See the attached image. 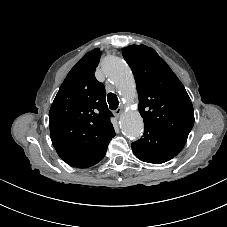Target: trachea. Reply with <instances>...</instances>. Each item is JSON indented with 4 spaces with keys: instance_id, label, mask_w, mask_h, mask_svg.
<instances>
[{
    "instance_id": "3493384b",
    "label": "trachea",
    "mask_w": 227,
    "mask_h": 227,
    "mask_svg": "<svg viewBox=\"0 0 227 227\" xmlns=\"http://www.w3.org/2000/svg\"><path fill=\"white\" fill-rule=\"evenodd\" d=\"M107 101H108V104H109V108L111 110H115V109L118 108L119 101H118L117 96L114 93H109L108 94Z\"/></svg>"
}]
</instances>
